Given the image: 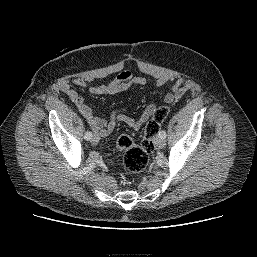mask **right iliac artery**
<instances>
[{
  "label": "right iliac artery",
  "instance_id": "right-iliac-artery-1",
  "mask_svg": "<svg viewBox=\"0 0 257 257\" xmlns=\"http://www.w3.org/2000/svg\"><path fill=\"white\" fill-rule=\"evenodd\" d=\"M91 137H92V133L90 132V131H87L86 133H85V135H84V138H85V140H90L91 139Z\"/></svg>",
  "mask_w": 257,
  "mask_h": 257
}]
</instances>
